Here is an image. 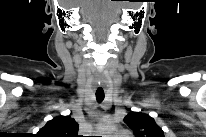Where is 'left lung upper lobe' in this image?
I'll use <instances>...</instances> for the list:
<instances>
[{"instance_id":"1","label":"left lung upper lobe","mask_w":206,"mask_h":137,"mask_svg":"<svg viewBox=\"0 0 206 137\" xmlns=\"http://www.w3.org/2000/svg\"><path fill=\"white\" fill-rule=\"evenodd\" d=\"M124 122L133 130L135 137H164V132L147 114L130 112Z\"/></svg>"}]
</instances>
